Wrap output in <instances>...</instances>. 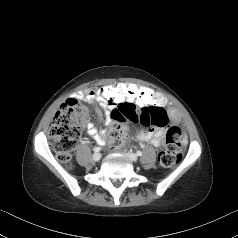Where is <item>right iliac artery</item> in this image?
<instances>
[{"mask_svg": "<svg viewBox=\"0 0 238 238\" xmlns=\"http://www.w3.org/2000/svg\"><path fill=\"white\" fill-rule=\"evenodd\" d=\"M100 150H101L100 147H95V148L93 149L94 152H99Z\"/></svg>", "mask_w": 238, "mask_h": 238, "instance_id": "82829eb1", "label": "right iliac artery"}]
</instances>
